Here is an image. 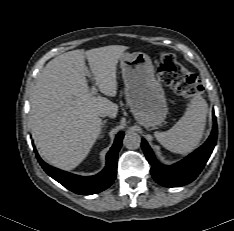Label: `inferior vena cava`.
<instances>
[{
	"label": "inferior vena cava",
	"instance_id": "inferior-vena-cava-1",
	"mask_svg": "<svg viewBox=\"0 0 234 231\" xmlns=\"http://www.w3.org/2000/svg\"><path fill=\"white\" fill-rule=\"evenodd\" d=\"M99 116H100V117H105V116H110V115H109V113H107V112H100V113H99Z\"/></svg>",
	"mask_w": 234,
	"mask_h": 231
}]
</instances>
